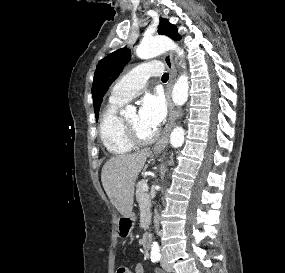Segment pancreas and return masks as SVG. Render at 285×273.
<instances>
[{
  "mask_svg": "<svg viewBox=\"0 0 285 273\" xmlns=\"http://www.w3.org/2000/svg\"><path fill=\"white\" fill-rule=\"evenodd\" d=\"M145 181H140L136 185V200L139 204L144 205V210L147 214V218L150 216V207H151V199L149 194H146L145 191L142 189V185Z\"/></svg>",
  "mask_w": 285,
  "mask_h": 273,
  "instance_id": "pancreas-1",
  "label": "pancreas"
}]
</instances>
